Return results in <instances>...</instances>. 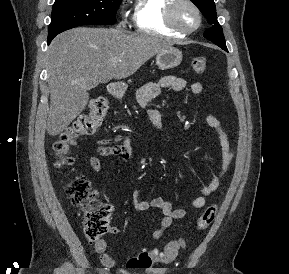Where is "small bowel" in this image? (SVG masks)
Instances as JSON below:
<instances>
[{"label":"small bowel","mask_w":289,"mask_h":274,"mask_svg":"<svg viewBox=\"0 0 289 274\" xmlns=\"http://www.w3.org/2000/svg\"><path fill=\"white\" fill-rule=\"evenodd\" d=\"M186 85V80L183 78L176 76H165L158 82H150L145 84L138 92V102L141 107H144L148 102L156 98L160 94L161 90L170 89L173 91H181L185 89ZM190 89L191 92L195 95H202L204 91L203 84L200 82H194ZM148 117L163 144L169 150L175 151L177 149L176 146L167 138L164 133L161 123V116L158 110H149ZM204 122L216 133L219 141L221 158L218 164L217 174L203 187H201L199 194L191 200L190 205L195 209L204 207L206 204V197L218 189L221 179L228 171L234 156L233 149L230 145L227 134L221 126L220 121L213 115H207L204 118ZM122 139L123 137L121 135H117L113 141L119 142ZM97 152L100 156L103 157L118 156L122 160H128L131 157L130 139L125 138L123 144L112 146L108 145V140H101L100 145L97 148ZM89 164L96 172H100L102 170L101 162L96 156H91L89 158ZM133 204L138 211H146L149 208H156L161 212L162 218L160 221V226L152 234L154 239L160 238L163 233L172 225L174 220L183 219L187 215L186 208H174L171 202L163 198H153L149 202L142 200L139 197L138 191H135L133 194ZM116 232H118V229L112 228V233ZM112 248L113 247L103 239L96 241L94 244V250L98 254L101 263L108 268H111L115 265L114 259L110 256V251Z\"/></svg>","instance_id":"obj_1"}]
</instances>
